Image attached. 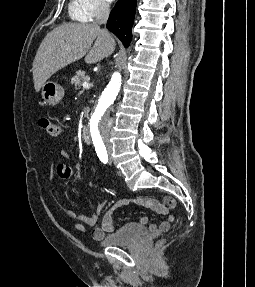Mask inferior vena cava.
Wrapping results in <instances>:
<instances>
[{
	"label": "inferior vena cava",
	"instance_id": "obj_1",
	"mask_svg": "<svg viewBox=\"0 0 255 287\" xmlns=\"http://www.w3.org/2000/svg\"><path fill=\"white\" fill-rule=\"evenodd\" d=\"M109 12H110V6L109 4H106V2H101L99 6V10L96 14V20L95 24H106L108 18H109ZM102 140L104 144L109 147L110 142H109V130H104L102 132Z\"/></svg>",
	"mask_w": 255,
	"mask_h": 287
}]
</instances>
